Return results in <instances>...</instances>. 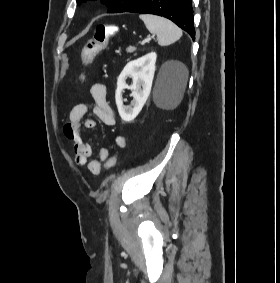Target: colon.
I'll list each match as a JSON object with an SVG mask.
<instances>
[{
    "label": "colon",
    "instance_id": "obj_1",
    "mask_svg": "<svg viewBox=\"0 0 280 283\" xmlns=\"http://www.w3.org/2000/svg\"><path fill=\"white\" fill-rule=\"evenodd\" d=\"M118 31V27L114 25H98L95 29L93 37L85 44L81 59L84 65H88L94 57L103 49H105L107 42L111 36ZM91 74L90 70H81L79 77L85 80ZM116 164V158L110 157L107 161V168L112 169Z\"/></svg>",
    "mask_w": 280,
    "mask_h": 283
}]
</instances>
